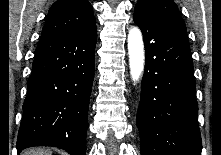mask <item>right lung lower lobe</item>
I'll return each mask as SVG.
<instances>
[{
	"label": "right lung lower lobe",
	"instance_id": "98d812e1",
	"mask_svg": "<svg viewBox=\"0 0 221 155\" xmlns=\"http://www.w3.org/2000/svg\"><path fill=\"white\" fill-rule=\"evenodd\" d=\"M96 40V25L41 36L23 104L18 153L32 146H54L70 155H85Z\"/></svg>",
	"mask_w": 221,
	"mask_h": 155
}]
</instances>
